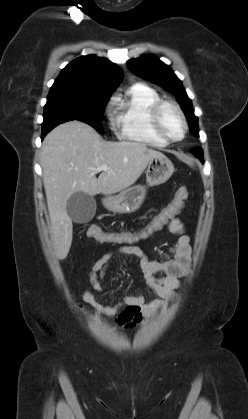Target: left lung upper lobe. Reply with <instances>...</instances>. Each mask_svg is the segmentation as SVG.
I'll list each match as a JSON object with an SVG mask.
<instances>
[{
    "instance_id": "obj_1",
    "label": "left lung upper lobe",
    "mask_w": 248,
    "mask_h": 419,
    "mask_svg": "<svg viewBox=\"0 0 248 419\" xmlns=\"http://www.w3.org/2000/svg\"><path fill=\"white\" fill-rule=\"evenodd\" d=\"M127 67L137 76L150 80L174 93L176 95V100L179 102L186 115L191 133L195 137H199L198 118L194 115L192 102L188 98L182 82L168 65L160 61L156 56L150 54L128 61Z\"/></svg>"
}]
</instances>
